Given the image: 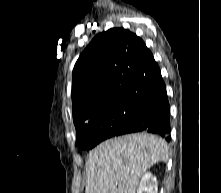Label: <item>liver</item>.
<instances>
[{
    "label": "liver",
    "instance_id": "1",
    "mask_svg": "<svg viewBox=\"0 0 221 193\" xmlns=\"http://www.w3.org/2000/svg\"><path fill=\"white\" fill-rule=\"evenodd\" d=\"M168 158L167 143L152 134L108 139L89 152L85 193H136L141 176Z\"/></svg>",
    "mask_w": 221,
    "mask_h": 193
}]
</instances>
